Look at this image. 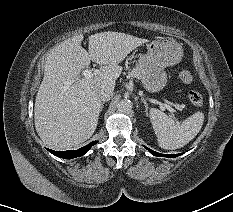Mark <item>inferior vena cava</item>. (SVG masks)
I'll list each match as a JSON object with an SVG mask.
<instances>
[{"label":"inferior vena cava","mask_w":233,"mask_h":212,"mask_svg":"<svg viewBox=\"0 0 233 212\" xmlns=\"http://www.w3.org/2000/svg\"><path fill=\"white\" fill-rule=\"evenodd\" d=\"M114 90L108 85H102L97 90V96L101 101H108L113 96Z\"/></svg>","instance_id":"1"}]
</instances>
